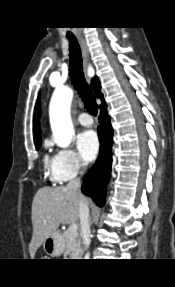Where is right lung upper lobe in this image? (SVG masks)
I'll list each match as a JSON object with an SVG mask.
<instances>
[{
    "label": "right lung upper lobe",
    "instance_id": "right-lung-upper-lobe-1",
    "mask_svg": "<svg viewBox=\"0 0 175 287\" xmlns=\"http://www.w3.org/2000/svg\"><path fill=\"white\" fill-rule=\"evenodd\" d=\"M91 87L95 93V96L97 98H100L102 103L100 105V107H102L103 105L106 104V102L104 101L103 98V94L101 93V85H100V81L98 79L97 76H95L94 78H92L91 80ZM40 117V102H39V98L37 100L36 106H35V110H34V120H33V137H34V142L38 143L41 142V130H40V124H39V119Z\"/></svg>",
    "mask_w": 175,
    "mask_h": 287
}]
</instances>
